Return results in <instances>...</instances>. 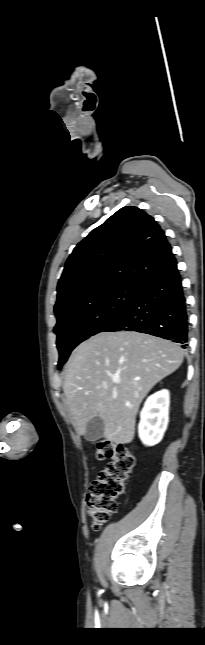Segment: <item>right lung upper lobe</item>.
Returning <instances> with one entry per match:
<instances>
[{"label": "right lung upper lobe", "instance_id": "obj_1", "mask_svg": "<svg viewBox=\"0 0 205 645\" xmlns=\"http://www.w3.org/2000/svg\"><path fill=\"white\" fill-rule=\"evenodd\" d=\"M175 261L154 218L137 207H123L74 248L58 282L55 314L83 297L138 284Z\"/></svg>", "mask_w": 205, "mask_h": 645}]
</instances>
